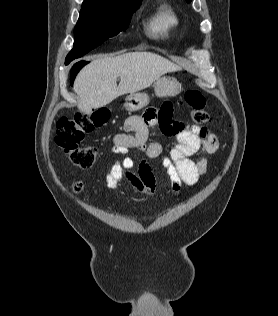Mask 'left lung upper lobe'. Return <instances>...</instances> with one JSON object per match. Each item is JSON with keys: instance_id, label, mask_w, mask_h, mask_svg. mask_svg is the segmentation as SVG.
Listing matches in <instances>:
<instances>
[{"instance_id": "5c2ea615", "label": "left lung upper lobe", "mask_w": 278, "mask_h": 316, "mask_svg": "<svg viewBox=\"0 0 278 316\" xmlns=\"http://www.w3.org/2000/svg\"><path fill=\"white\" fill-rule=\"evenodd\" d=\"M192 0H187V2H191Z\"/></svg>"}]
</instances>
